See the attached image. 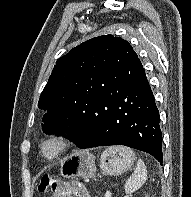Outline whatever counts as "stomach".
<instances>
[{
    "label": "stomach",
    "mask_w": 191,
    "mask_h": 197,
    "mask_svg": "<svg viewBox=\"0 0 191 197\" xmlns=\"http://www.w3.org/2000/svg\"><path fill=\"white\" fill-rule=\"evenodd\" d=\"M131 164L124 162L122 157L109 149L100 158L103 174L115 176L122 173ZM96 173L95 157L87 150L72 154L61 164V175L64 178H90Z\"/></svg>",
    "instance_id": "obj_1"
}]
</instances>
